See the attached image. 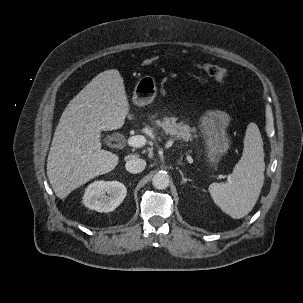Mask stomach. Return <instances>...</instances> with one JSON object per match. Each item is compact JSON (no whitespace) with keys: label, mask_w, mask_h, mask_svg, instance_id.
Here are the masks:
<instances>
[{"label":"stomach","mask_w":303,"mask_h":303,"mask_svg":"<svg viewBox=\"0 0 303 303\" xmlns=\"http://www.w3.org/2000/svg\"><path fill=\"white\" fill-rule=\"evenodd\" d=\"M157 93L156 81L152 76L141 77L134 89L133 103L139 107L150 104ZM230 123L229 115L221 110H208L200 118V129L207 146L208 161L216 165L230 148L226 133Z\"/></svg>","instance_id":"0dacf381"}]
</instances>
